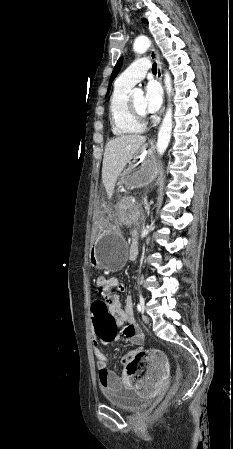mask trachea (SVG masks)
<instances>
[{
  "mask_svg": "<svg viewBox=\"0 0 233 449\" xmlns=\"http://www.w3.org/2000/svg\"><path fill=\"white\" fill-rule=\"evenodd\" d=\"M152 72H153L154 74L157 73V64H156V63H154V64L152 65Z\"/></svg>",
  "mask_w": 233,
  "mask_h": 449,
  "instance_id": "3493384b",
  "label": "trachea"
}]
</instances>
